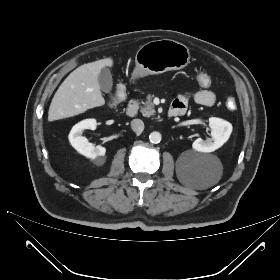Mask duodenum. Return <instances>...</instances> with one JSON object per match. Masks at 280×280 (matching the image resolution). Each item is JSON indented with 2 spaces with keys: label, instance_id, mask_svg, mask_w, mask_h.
<instances>
[{
  "label": "duodenum",
  "instance_id": "duodenum-1",
  "mask_svg": "<svg viewBox=\"0 0 280 280\" xmlns=\"http://www.w3.org/2000/svg\"><path fill=\"white\" fill-rule=\"evenodd\" d=\"M138 110H139L138 99H136V98L131 99L129 101V103L127 105V109H126L128 116H130V117L136 116L138 113ZM180 113H181L180 110H178L174 107H171L168 112V115H169V117H174V116L179 115Z\"/></svg>",
  "mask_w": 280,
  "mask_h": 280
}]
</instances>
